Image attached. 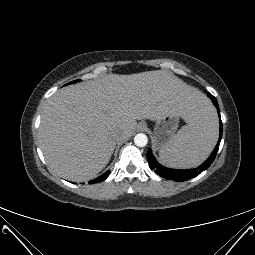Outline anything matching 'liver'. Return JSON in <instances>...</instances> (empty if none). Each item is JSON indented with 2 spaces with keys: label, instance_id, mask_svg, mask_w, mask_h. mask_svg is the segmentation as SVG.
Listing matches in <instances>:
<instances>
[{
  "label": "liver",
  "instance_id": "obj_1",
  "mask_svg": "<svg viewBox=\"0 0 255 255\" xmlns=\"http://www.w3.org/2000/svg\"><path fill=\"white\" fill-rule=\"evenodd\" d=\"M201 100L207 99L165 70L109 74L65 87L48 99L41 115L40 146L58 175L87 181L108 164L119 142L115 132L125 140L136 120H158L169 113L189 122Z\"/></svg>",
  "mask_w": 255,
  "mask_h": 255
}]
</instances>
